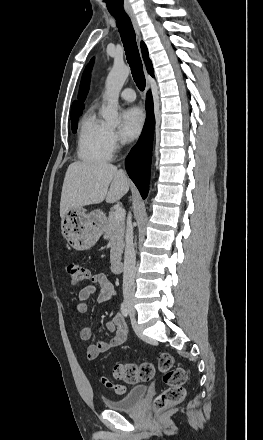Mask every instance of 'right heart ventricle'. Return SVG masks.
Instances as JSON below:
<instances>
[{"label": "right heart ventricle", "instance_id": "e07e8e85", "mask_svg": "<svg viewBox=\"0 0 263 440\" xmlns=\"http://www.w3.org/2000/svg\"><path fill=\"white\" fill-rule=\"evenodd\" d=\"M112 151L108 126L97 117L93 109H89L79 126L78 157L85 162H104L111 159Z\"/></svg>", "mask_w": 263, "mask_h": 440}]
</instances>
